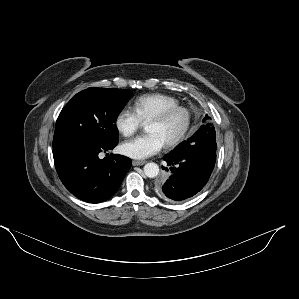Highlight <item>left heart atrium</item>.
<instances>
[{
	"label": "left heart atrium",
	"mask_w": 299,
	"mask_h": 299,
	"mask_svg": "<svg viewBox=\"0 0 299 299\" xmlns=\"http://www.w3.org/2000/svg\"><path fill=\"white\" fill-rule=\"evenodd\" d=\"M164 145L165 141L159 134L149 133L124 141L120 152L133 159H145L157 154Z\"/></svg>",
	"instance_id": "39dd6f15"
}]
</instances>
